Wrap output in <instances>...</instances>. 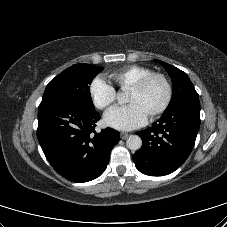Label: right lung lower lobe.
I'll use <instances>...</instances> for the list:
<instances>
[{
    "label": "right lung lower lobe",
    "mask_w": 227,
    "mask_h": 227,
    "mask_svg": "<svg viewBox=\"0 0 227 227\" xmlns=\"http://www.w3.org/2000/svg\"><path fill=\"white\" fill-rule=\"evenodd\" d=\"M100 114L66 98L41 102L37 137L51 166L77 183L100 176L120 134L112 128L96 132Z\"/></svg>",
    "instance_id": "1"
}]
</instances>
